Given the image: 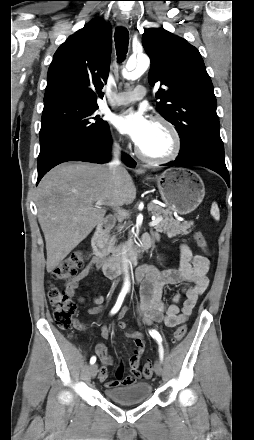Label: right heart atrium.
<instances>
[{
  "mask_svg": "<svg viewBox=\"0 0 254 440\" xmlns=\"http://www.w3.org/2000/svg\"><path fill=\"white\" fill-rule=\"evenodd\" d=\"M113 145H114L116 148H118V147L120 146V141H119V140H115V141L113 142Z\"/></svg>",
  "mask_w": 254,
  "mask_h": 440,
  "instance_id": "d8ad5b80",
  "label": "right heart atrium"
}]
</instances>
